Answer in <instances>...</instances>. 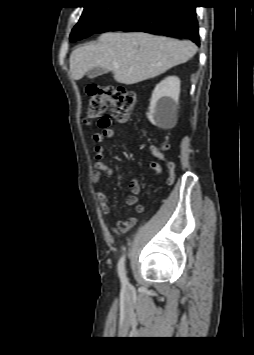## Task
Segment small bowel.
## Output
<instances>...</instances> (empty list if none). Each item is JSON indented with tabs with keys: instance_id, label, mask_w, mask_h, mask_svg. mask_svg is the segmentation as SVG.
<instances>
[{
	"instance_id": "obj_1",
	"label": "small bowel",
	"mask_w": 254,
	"mask_h": 355,
	"mask_svg": "<svg viewBox=\"0 0 254 355\" xmlns=\"http://www.w3.org/2000/svg\"><path fill=\"white\" fill-rule=\"evenodd\" d=\"M110 120L105 118L101 127L103 128L102 131L96 132L92 135V139L95 143L94 146V155H95V171L92 173L91 180L94 184H98L101 179L102 175L105 174L107 177H112L114 171L111 167H109L104 161V148L102 143L106 139H112L114 137V131L110 128ZM154 156L165 159V157L155 151ZM167 166L170 171L175 173V164L171 161H167ZM150 167L156 171L157 173H162L163 168L157 161H151ZM130 194L126 197V204L127 205H135L138 201V193L140 192V183L137 179H132L129 183ZM97 200L99 202L101 211L106 215H112V209L108 204V195L105 191H99L97 193ZM136 212L141 214L143 212V208L138 206L136 208ZM137 223L136 217H130L125 221L115 220V224L112 228L113 232L117 234L126 233L130 231Z\"/></svg>"
}]
</instances>
